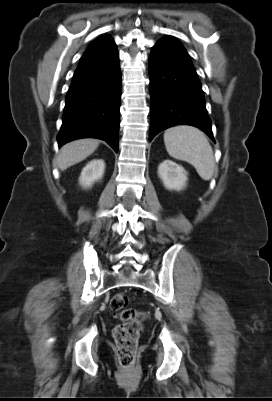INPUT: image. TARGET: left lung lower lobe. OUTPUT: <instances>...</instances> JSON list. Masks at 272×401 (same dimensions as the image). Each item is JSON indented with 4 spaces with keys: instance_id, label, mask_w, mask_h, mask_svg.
<instances>
[{
    "instance_id": "1",
    "label": "left lung lower lobe",
    "mask_w": 272,
    "mask_h": 401,
    "mask_svg": "<svg viewBox=\"0 0 272 401\" xmlns=\"http://www.w3.org/2000/svg\"><path fill=\"white\" fill-rule=\"evenodd\" d=\"M151 127L149 140L174 125H191L215 142L201 83L182 44L171 36L159 40L149 58Z\"/></svg>"
}]
</instances>
